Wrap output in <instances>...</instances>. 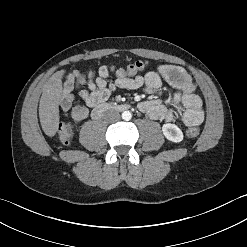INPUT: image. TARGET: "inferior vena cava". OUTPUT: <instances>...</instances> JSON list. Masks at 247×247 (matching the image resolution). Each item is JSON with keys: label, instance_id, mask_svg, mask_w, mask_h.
<instances>
[{"label": "inferior vena cava", "instance_id": "obj_1", "mask_svg": "<svg viewBox=\"0 0 247 247\" xmlns=\"http://www.w3.org/2000/svg\"><path fill=\"white\" fill-rule=\"evenodd\" d=\"M104 118L109 122H115L120 119V114L117 111L111 110L105 113Z\"/></svg>", "mask_w": 247, "mask_h": 247}]
</instances>
